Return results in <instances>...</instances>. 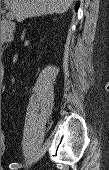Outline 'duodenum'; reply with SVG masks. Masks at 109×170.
I'll return each mask as SVG.
<instances>
[{"instance_id": "obj_1", "label": "duodenum", "mask_w": 109, "mask_h": 170, "mask_svg": "<svg viewBox=\"0 0 109 170\" xmlns=\"http://www.w3.org/2000/svg\"><path fill=\"white\" fill-rule=\"evenodd\" d=\"M4 27H5L7 30H9V29H10L9 23H5V24H4ZM1 75H2V71H1Z\"/></svg>"}]
</instances>
